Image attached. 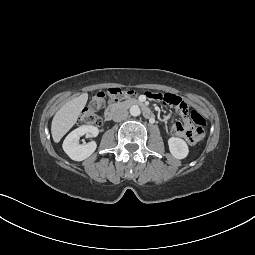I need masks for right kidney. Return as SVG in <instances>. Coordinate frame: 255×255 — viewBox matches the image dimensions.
Listing matches in <instances>:
<instances>
[{
    "instance_id": "ca27d5eb",
    "label": "right kidney",
    "mask_w": 255,
    "mask_h": 255,
    "mask_svg": "<svg viewBox=\"0 0 255 255\" xmlns=\"http://www.w3.org/2000/svg\"><path fill=\"white\" fill-rule=\"evenodd\" d=\"M98 133L99 130L95 126H81L68 134L62 145L63 150L72 160H85L94 153L97 148V144L94 141L79 144V139L85 134L89 137H96Z\"/></svg>"
}]
</instances>
